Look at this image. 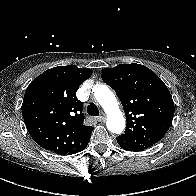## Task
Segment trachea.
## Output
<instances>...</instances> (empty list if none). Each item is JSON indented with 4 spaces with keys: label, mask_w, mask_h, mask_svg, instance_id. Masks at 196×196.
Listing matches in <instances>:
<instances>
[{
    "label": "trachea",
    "mask_w": 196,
    "mask_h": 196,
    "mask_svg": "<svg viewBox=\"0 0 196 196\" xmlns=\"http://www.w3.org/2000/svg\"><path fill=\"white\" fill-rule=\"evenodd\" d=\"M87 112L91 116H99V109L95 104H90L87 107Z\"/></svg>",
    "instance_id": "1"
}]
</instances>
